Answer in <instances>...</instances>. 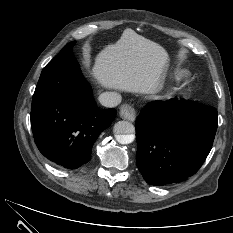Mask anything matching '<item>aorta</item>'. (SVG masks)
<instances>
[{
  "mask_svg": "<svg viewBox=\"0 0 233 233\" xmlns=\"http://www.w3.org/2000/svg\"><path fill=\"white\" fill-rule=\"evenodd\" d=\"M115 138L120 144H130L134 140L135 127L128 121H119L114 125Z\"/></svg>",
  "mask_w": 233,
  "mask_h": 233,
  "instance_id": "obj_1",
  "label": "aorta"
}]
</instances>
